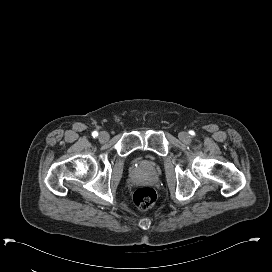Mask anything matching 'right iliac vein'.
I'll return each mask as SVG.
<instances>
[{"label":"right iliac vein","mask_w":272,"mask_h":272,"mask_svg":"<svg viewBox=\"0 0 272 272\" xmlns=\"http://www.w3.org/2000/svg\"><path fill=\"white\" fill-rule=\"evenodd\" d=\"M108 139H109V135H108L107 132L102 131V132L99 134V140H100L101 142H105V141H107Z\"/></svg>","instance_id":"right-iliac-vein-1"}]
</instances>
